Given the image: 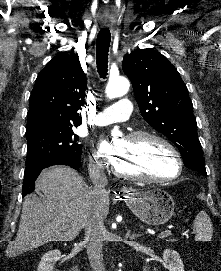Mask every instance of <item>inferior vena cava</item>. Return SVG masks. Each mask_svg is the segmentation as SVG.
Segmentation results:
<instances>
[{
  "mask_svg": "<svg viewBox=\"0 0 221 271\" xmlns=\"http://www.w3.org/2000/svg\"><path fill=\"white\" fill-rule=\"evenodd\" d=\"M96 169L98 171V177H96L91 191L92 195H94V201L92 205H90L88 217L85 219L84 239L89 263L91 265V271H105L102 245L106 227L104 225V217L101 215L99 205L96 201L104 199V197H108V191L106 189L108 179L104 173V167H102V165L97 163Z\"/></svg>",
  "mask_w": 221,
  "mask_h": 271,
  "instance_id": "inferior-vena-cava-1",
  "label": "inferior vena cava"
}]
</instances>
